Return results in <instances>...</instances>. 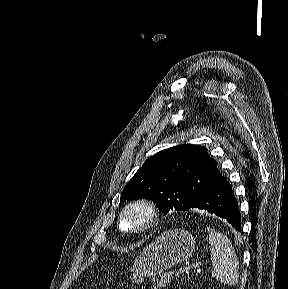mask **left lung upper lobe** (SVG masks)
<instances>
[{"label": "left lung upper lobe", "instance_id": "left-lung-upper-lobe-1", "mask_svg": "<svg viewBox=\"0 0 288 289\" xmlns=\"http://www.w3.org/2000/svg\"><path fill=\"white\" fill-rule=\"evenodd\" d=\"M220 175L206 148L178 145L148 158L125 186L120 203L145 198L163 213L185 211Z\"/></svg>", "mask_w": 288, "mask_h": 289}]
</instances>
